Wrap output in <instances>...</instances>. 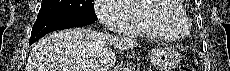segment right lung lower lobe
Instances as JSON below:
<instances>
[{
    "label": "right lung lower lobe",
    "instance_id": "1",
    "mask_svg": "<svg viewBox=\"0 0 230 71\" xmlns=\"http://www.w3.org/2000/svg\"><path fill=\"white\" fill-rule=\"evenodd\" d=\"M96 20L97 18L74 15L37 18L32 28L29 44L36 42L49 32L61 29H68L71 27L89 25L94 23Z\"/></svg>",
    "mask_w": 230,
    "mask_h": 71
}]
</instances>
